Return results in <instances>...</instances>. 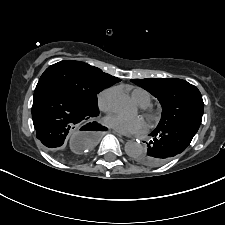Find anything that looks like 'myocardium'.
<instances>
[{"mask_svg":"<svg viewBox=\"0 0 225 225\" xmlns=\"http://www.w3.org/2000/svg\"><path fill=\"white\" fill-rule=\"evenodd\" d=\"M143 110L145 111V115L151 123H156L159 121L160 112L158 110L148 106L143 107Z\"/></svg>","mask_w":225,"mask_h":225,"instance_id":"1","label":"myocardium"}]
</instances>
